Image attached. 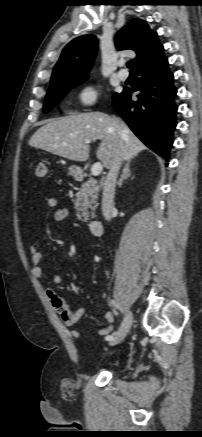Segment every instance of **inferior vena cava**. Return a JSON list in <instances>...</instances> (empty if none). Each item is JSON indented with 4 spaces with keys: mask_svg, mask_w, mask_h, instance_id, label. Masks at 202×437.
<instances>
[{
    "mask_svg": "<svg viewBox=\"0 0 202 437\" xmlns=\"http://www.w3.org/2000/svg\"><path fill=\"white\" fill-rule=\"evenodd\" d=\"M122 161H116L110 168L103 187L102 212L107 221L112 218L114 207L115 186Z\"/></svg>",
    "mask_w": 202,
    "mask_h": 437,
    "instance_id": "1",
    "label": "inferior vena cava"
}]
</instances>
